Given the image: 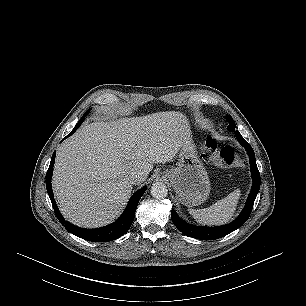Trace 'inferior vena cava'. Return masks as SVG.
<instances>
[{
  "mask_svg": "<svg viewBox=\"0 0 306 306\" xmlns=\"http://www.w3.org/2000/svg\"><path fill=\"white\" fill-rule=\"evenodd\" d=\"M145 179H146V176L141 171L131 172V174L129 176L130 182L134 185H138V184L142 183L143 181H145Z\"/></svg>",
  "mask_w": 306,
  "mask_h": 306,
  "instance_id": "602c4592",
  "label": "inferior vena cava"
}]
</instances>
